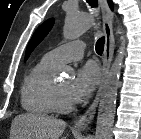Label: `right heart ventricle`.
I'll use <instances>...</instances> for the list:
<instances>
[{
	"label": "right heart ventricle",
	"instance_id": "right-heart-ventricle-1",
	"mask_svg": "<svg viewBox=\"0 0 141 139\" xmlns=\"http://www.w3.org/2000/svg\"><path fill=\"white\" fill-rule=\"evenodd\" d=\"M57 65L43 57L31 68L21 87V104L29 113L47 116L56 111L51 74Z\"/></svg>",
	"mask_w": 141,
	"mask_h": 139
}]
</instances>
